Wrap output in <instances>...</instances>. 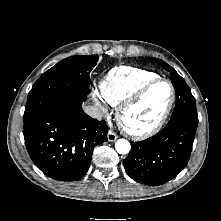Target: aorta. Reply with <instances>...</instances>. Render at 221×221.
Here are the masks:
<instances>
[{
    "instance_id": "aorta-1",
    "label": "aorta",
    "mask_w": 221,
    "mask_h": 221,
    "mask_svg": "<svg viewBox=\"0 0 221 221\" xmlns=\"http://www.w3.org/2000/svg\"><path fill=\"white\" fill-rule=\"evenodd\" d=\"M130 148V143L126 139H119L115 143V149L119 154H127Z\"/></svg>"
}]
</instances>
